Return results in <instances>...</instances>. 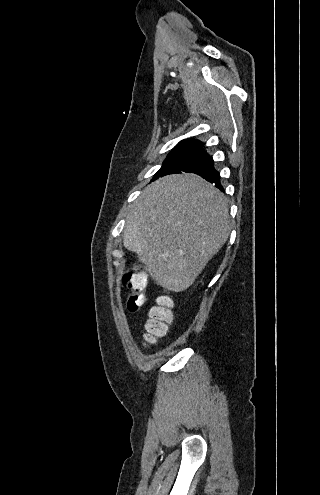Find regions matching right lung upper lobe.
I'll use <instances>...</instances> for the list:
<instances>
[{"instance_id":"obj_1","label":"right lung upper lobe","mask_w":320,"mask_h":495,"mask_svg":"<svg viewBox=\"0 0 320 495\" xmlns=\"http://www.w3.org/2000/svg\"><path fill=\"white\" fill-rule=\"evenodd\" d=\"M187 140H191V139H187ZM192 141H197V140H192Z\"/></svg>"}]
</instances>
